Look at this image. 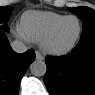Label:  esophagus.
<instances>
[{
  "label": "esophagus",
  "instance_id": "34e87169",
  "mask_svg": "<svg viewBox=\"0 0 95 95\" xmlns=\"http://www.w3.org/2000/svg\"><path fill=\"white\" fill-rule=\"evenodd\" d=\"M35 57H36V60H39V61L44 60L43 55L38 51L35 52Z\"/></svg>",
  "mask_w": 95,
  "mask_h": 95
}]
</instances>
